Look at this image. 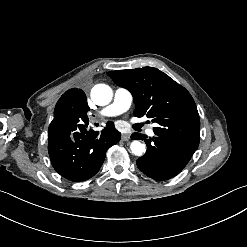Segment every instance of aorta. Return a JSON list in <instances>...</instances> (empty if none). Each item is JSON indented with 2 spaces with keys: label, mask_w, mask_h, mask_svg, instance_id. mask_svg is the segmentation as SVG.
Listing matches in <instances>:
<instances>
[{
  "label": "aorta",
  "mask_w": 247,
  "mask_h": 247,
  "mask_svg": "<svg viewBox=\"0 0 247 247\" xmlns=\"http://www.w3.org/2000/svg\"><path fill=\"white\" fill-rule=\"evenodd\" d=\"M113 96L112 89L106 84H97L91 90L92 101L99 106L107 105L111 102ZM130 149L136 156H141L146 151V146L140 141L134 140Z\"/></svg>",
  "instance_id": "aorta-1"
}]
</instances>
